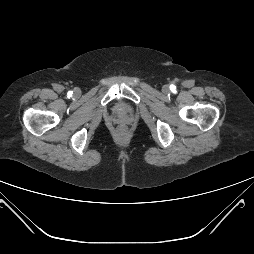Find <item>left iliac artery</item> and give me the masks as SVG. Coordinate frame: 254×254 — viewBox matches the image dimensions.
Listing matches in <instances>:
<instances>
[{
    "label": "left iliac artery",
    "mask_w": 254,
    "mask_h": 254,
    "mask_svg": "<svg viewBox=\"0 0 254 254\" xmlns=\"http://www.w3.org/2000/svg\"><path fill=\"white\" fill-rule=\"evenodd\" d=\"M170 89H171L172 91H174V90H175V86H174V85H171V86H170Z\"/></svg>",
    "instance_id": "44dca946"
}]
</instances>
